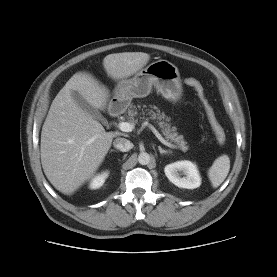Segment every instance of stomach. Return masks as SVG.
Listing matches in <instances>:
<instances>
[{
  "label": "stomach",
  "mask_w": 277,
  "mask_h": 277,
  "mask_svg": "<svg viewBox=\"0 0 277 277\" xmlns=\"http://www.w3.org/2000/svg\"><path fill=\"white\" fill-rule=\"evenodd\" d=\"M169 101L177 102L182 96V83L178 68L167 60H157L141 69L131 79L120 81L114 90L109 107L124 112L132 98L149 95L152 87Z\"/></svg>",
  "instance_id": "0dacf381"
}]
</instances>
